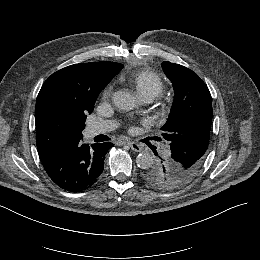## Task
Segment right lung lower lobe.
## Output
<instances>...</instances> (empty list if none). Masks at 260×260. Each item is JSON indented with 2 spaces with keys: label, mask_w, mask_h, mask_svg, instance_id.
<instances>
[{
  "label": "right lung lower lobe",
  "mask_w": 260,
  "mask_h": 260,
  "mask_svg": "<svg viewBox=\"0 0 260 260\" xmlns=\"http://www.w3.org/2000/svg\"><path fill=\"white\" fill-rule=\"evenodd\" d=\"M112 146L110 142L89 146L80 140L66 146L58 156L43 166L60 188L80 192L97 182L103 172L105 154Z\"/></svg>",
  "instance_id": "98d812e1"
}]
</instances>
